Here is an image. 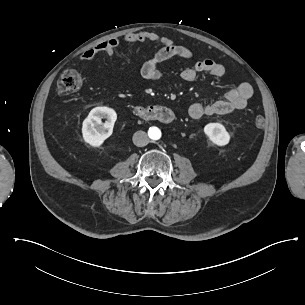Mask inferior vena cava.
<instances>
[{
    "instance_id": "obj_1",
    "label": "inferior vena cava",
    "mask_w": 305,
    "mask_h": 305,
    "mask_svg": "<svg viewBox=\"0 0 305 305\" xmlns=\"http://www.w3.org/2000/svg\"><path fill=\"white\" fill-rule=\"evenodd\" d=\"M133 143L138 147L146 146L149 143V137L144 131H137L133 135Z\"/></svg>"
}]
</instances>
